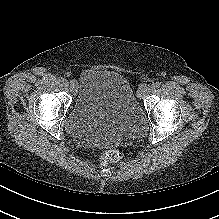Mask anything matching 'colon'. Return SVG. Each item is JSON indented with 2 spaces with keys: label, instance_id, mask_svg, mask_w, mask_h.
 I'll list each match as a JSON object with an SVG mask.
<instances>
[{
  "label": "colon",
  "instance_id": "obj_1",
  "mask_svg": "<svg viewBox=\"0 0 219 219\" xmlns=\"http://www.w3.org/2000/svg\"><path fill=\"white\" fill-rule=\"evenodd\" d=\"M122 153L119 150H108L102 153L100 161L103 165L117 163L122 159Z\"/></svg>",
  "mask_w": 219,
  "mask_h": 219
}]
</instances>
